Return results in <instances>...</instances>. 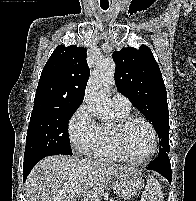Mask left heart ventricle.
Here are the masks:
<instances>
[{
	"instance_id": "left-heart-ventricle-1",
	"label": "left heart ventricle",
	"mask_w": 196,
	"mask_h": 201,
	"mask_svg": "<svg viewBox=\"0 0 196 201\" xmlns=\"http://www.w3.org/2000/svg\"><path fill=\"white\" fill-rule=\"evenodd\" d=\"M126 147L135 159L144 158L152 148V134L142 122L133 123L126 131Z\"/></svg>"
}]
</instances>
